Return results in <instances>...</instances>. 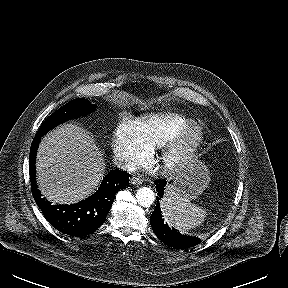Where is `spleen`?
<instances>
[{
  "mask_svg": "<svg viewBox=\"0 0 288 288\" xmlns=\"http://www.w3.org/2000/svg\"><path fill=\"white\" fill-rule=\"evenodd\" d=\"M162 208L164 220L182 231L200 225L207 213L205 209L192 204L190 200L174 194L169 188L162 200Z\"/></svg>",
  "mask_w": 288,
  "mask_h": 288,
  "instance_id": "obj_1",
  "label": "spleen"
}]
</instances>
